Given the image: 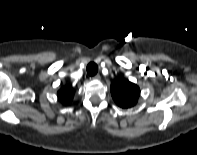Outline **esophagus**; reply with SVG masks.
Returning <instances> with one entry per match:
<instances>
[{
  "label": "esophagus",
  "mask_w": 197,
  "mask_h": 155,
  "mask_svg": "<svg viewBox=\"0 0 197 155\" xmlns=\"http://www.w3.org/2000/svg\"><path fill=\"white\" fill-rule=\"evenodd\" d=\"M93 79L94 80H100L101 76L99 74H96V75L93 76Z\"/></svg>",
  "instance_id": "esophagus-1"
}]
</instances>
